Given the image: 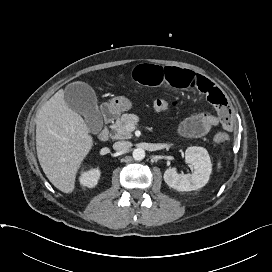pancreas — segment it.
Here are the masks:
<instances>
[{
	"instance_id": "cf45deb5",
	"label": "pancreas",
	"mask_w": 272,
	"mask_h": 272,
	"mask_svg": "<svg viewBox=\"0 0 272 272\" xmlns=\"http://www.w3.org/2000/svg\"><path fill=\"white\" fill-rule=\"evenodd\" d=\"M139 117L135 114H123L110 127L114 139H130L131 132L128 130V125H137Z\"/></svg>"
}]
</instances>
